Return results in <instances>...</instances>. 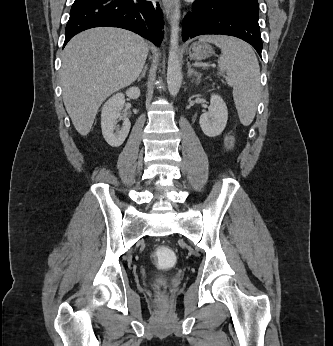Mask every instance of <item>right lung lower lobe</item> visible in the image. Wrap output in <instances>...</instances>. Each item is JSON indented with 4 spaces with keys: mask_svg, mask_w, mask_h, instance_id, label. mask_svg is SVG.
I'll list each match as a JSON object with an SVG mask.
<instances>
[{
    "mask_svg": "<svg viewBox=\"0 0 333 346\" xmlns=\"http://www.w3.org/2000/svg\"><path fill=\"white\" fill-rule=\"evenodd\" d=\"M119 27L133 31L159 45L163 37L160 5L146 0H75L65 29L67 42L94 27Z\"/></svg>",
    "mask_w": 333,
    "mask_h": 346,
    "instance_id": "obj_1",
    "label": "right lung lower lobe"
}]
</instances>
